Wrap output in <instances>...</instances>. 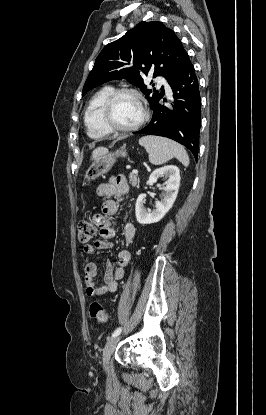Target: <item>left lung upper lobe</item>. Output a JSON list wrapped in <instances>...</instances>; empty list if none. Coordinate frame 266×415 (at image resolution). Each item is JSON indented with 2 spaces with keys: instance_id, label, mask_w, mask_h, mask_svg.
<instances>
[{
  "instance_id": "left-lung-upper-lobe-1",
  "label": "left lung upper lobe",
  "mask_w": 266,
  "mask_h": 415,
  "mask_svg": "<svg viewBox=\"0 0 266 415\" xmlns=\"http://www.w3.org/2000/svg\"><path fill=\"white\" fill-rule=\"evenodd\" d=\"M173 30L158 21L141 22L120 39L107 44L95 60L82 96L92 88L113 79H127L140 87L153 109L164 95L147 90L143 75L164 76L171 83L188 59Z\"/></svg>"
}]
</instances>
